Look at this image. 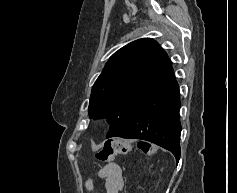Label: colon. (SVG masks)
Instances as JSON below:
<instances>
[{
	"mask_svg": "<svg viewBox=\"0 0 237 193\" xmlns=\"http://www.w3.org/2000/svg\"><path fill=\"white\" fill-rule=\"evenodd\" d=\"M139 149L146 155H151L153 149L146 142L138 143ZM131 150V143L128 140L117 139L107 141L95 154L96 158L104 163H112L118 155L127 154Z\"/></svg>",
	"mask_w": 237,
	"mask_h": 193,
	"instance_id": "obj_1",
	"label": "colon"
}]
</instances>
